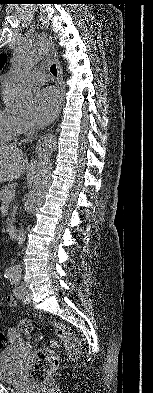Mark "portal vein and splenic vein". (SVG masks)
Segmentation results:
<instances>
[{
	"instance_id": "18ae733b",
	"label": "portal vein and splenic vein",
	"mask_w": 153,
	"mask_h": 393,
	"mask_svg": "<svg viewBox=\"0 0 153 393\" xmlns=\"http://www.w3.org/2000/svg\"><path fill=\"white\" fill-rule=\"evenodd\" d=\"M15 196L14 191H11L9 194H7L6 199H12Z\"/></svg>"
}]
</instances>
